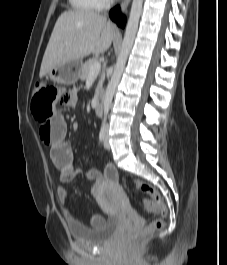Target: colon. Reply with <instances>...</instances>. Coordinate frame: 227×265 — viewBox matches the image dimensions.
Instances as JSON below:
<instances>
[{
    "label": "colon",
    "instance_id": "colon-1",
    "mask_svg": "<svg viewBox=\"0 0 227 265\" xmlns=\"http://www.w3.org/2000/svg\"><path fill=\"white\" fill-rule=\"evenodd\" d=\"M58 97L59 91L56 87L43 82H37L35 84L34 95L32 99V112L40 123V126L43 125V120H50L52 117L54 105L58 100ZM135 185L137 189L148 194L152 198V201L144 200V208L149 212L159 214L160 217L153 219L139 232L128 235L125 240L128 246L133 245L143 235L160 230L164 225V217L167 213L165 202L161 194L154 186L141 180H135Z\"/></svg>",
    "mask_w": 227,
    "mask_h": 265
}]
</instances>
